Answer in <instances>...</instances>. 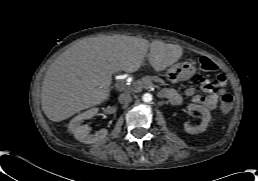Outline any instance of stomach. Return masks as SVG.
Masks as SVG:
<instances>
[{
  "instance_id": "0dacf381",
  "label": "stomach",
  "mask_w": 258,
  "mask_h": 181,
  "mask_svg": "<svg viewBox=\"0 0 258 181\" xmlns=\"http://www.w3.org/2000/svg\"><path fill=\"white\" fill-rule=\"evenodd\" d=\"M192 70L190 64L186 62H180L174 64L167 72L169 77L173 76L174 78H184L187 76Z\"/></svg>"
}]
</instances>
